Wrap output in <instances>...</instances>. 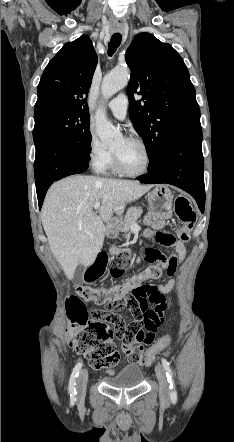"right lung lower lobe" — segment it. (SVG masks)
<instances>
[{
	"instance_id": "1",
	"label": "right lung lower lobe",
	"mask_w": 234,
	"mask_h": 442,
	"mask_svg": "<svg viewBox=\"0 0 234 442\" xmlns=\"http://www.w3.org/2000/svg\"><path fill=\"white\" fill-rule=\"evenodd\" d=\"M35 148L34 174L41 208L49 186L61 178L84 172L89 155L63 141L41 140L35 143Z\"/></svg>"
}]
</instances>
